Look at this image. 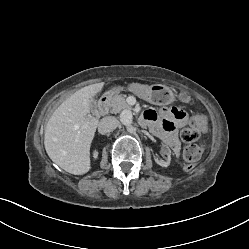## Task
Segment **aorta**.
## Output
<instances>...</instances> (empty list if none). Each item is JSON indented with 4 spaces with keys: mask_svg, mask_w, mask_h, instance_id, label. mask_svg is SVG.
I'll return each instance as SVG.
<instances>
[{
    "mask_svg": "<svg viewBox=\"0 0 249 249\" xmlns=\"http://www.w3.org/2000/svg\"><path fill=\"white\" fill-rule=\"evenodd\" d=\"M121 122L128 126L132 123V113L129 110H125L120 115Z\"/></svg>",
    "mask_w": 249,
    "mask_h": 249,
    "instance_id": "aorta-1",
    "label": "aorta"
}]
</instances>
